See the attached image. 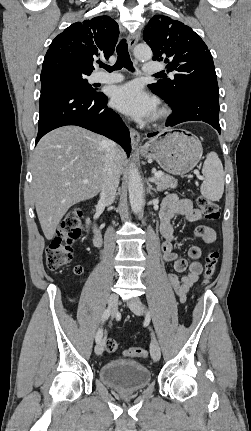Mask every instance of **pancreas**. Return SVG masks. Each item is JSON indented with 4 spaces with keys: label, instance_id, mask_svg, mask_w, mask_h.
I'll list each match as a JSON object with an SVG mask.
<instances>
[{
    "label": "pancreas",
    "instance_id": "pancreas-1",
    "mask_svg": "<svg viewBox=\"0 0 251 431\" xmlns=\"http://www.w3.org/2000/svg\"><path fill=\"white\" fill-rule=\"evenodd\" d=\"M155 184L159 191H164L168 188L174 189L178 186V182L174 177L163 173L161 177L155 179Z\"/></svg>",
    "mask_w": 251,
    "mask_h": 431
}]
</instances>
